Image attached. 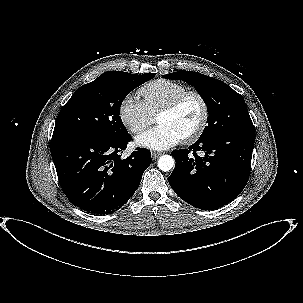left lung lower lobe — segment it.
Wrapping results in <instances>:
<instances>
[{
	"label": "left lung lower lobe",
	"instance_id": "0a47b994",
	"mask_svg": "<svg viewBox=\"0 0 303 303\" xmlns=\"http://www.w3.org/2000/svg\"><path fill=\"white\" fill-rule=\"evenodd\" d=\"M255 130H233L199 139L189 149L174 150L168 181L175 193L196 208L212 210L235 199L245 187ZM197 151H204L200 157Z\"/></svg>",
	"mask_w": 303,
	"mask_h": 303
}]
</instances>
